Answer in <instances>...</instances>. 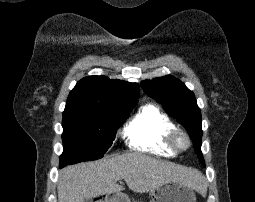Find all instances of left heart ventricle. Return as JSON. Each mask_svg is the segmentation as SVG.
Returning <instances> with one entry per match:
<instances>
[{
	"mask_svg": "<svg viewBox=\"0 0 255 202\" xmlns=\"http://www.w3.org/2000/svg\"><path fill=\"white\" fill-rule=\"evenodd\" d=\"M179 144H180V145H182V146H183V145H185V141H184V139H182V138H181V139H179Z\"/></svg>",
	"mask_w": 255,
	"mask_h": 202,
	"instance_id": "obj_1",
	"label": "left heart ventricle"
}]
</instances>
